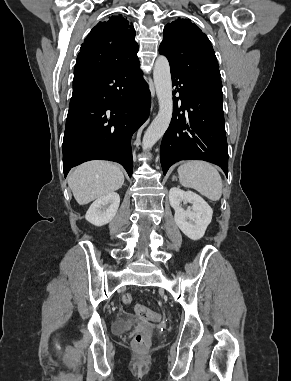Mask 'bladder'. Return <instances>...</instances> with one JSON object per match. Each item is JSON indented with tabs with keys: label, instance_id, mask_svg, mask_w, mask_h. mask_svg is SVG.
<instances>
[{
	"label": "bladder",
	"instance_id": "bladder-1",
	"mask_svg": "<svg viewBox=\"0 0 291 381\" xmlns=\"http://www.w3.org/2000/svg\"><path fill=\"white\" fill-rule=\"evenodd\" d=\"M139 322V319L134 317L119 318L113 322L112 330L114 333H123L136 326Z\"/></svg>",
	"mask_w": 291,
	"mask_h": 381
}]
</instances>
